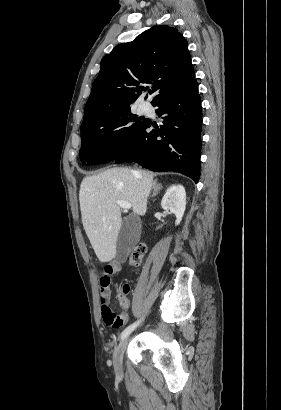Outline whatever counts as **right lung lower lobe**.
<instances>
[{
    "mask_svg": "<svg viewBox=\"0 0 281 410\" xmlns=\"http://www.w3.org/2000/svg\"><path fill=\"white\" fill-rule=\"evenodd\" d=\"M163 125L148 130V120L115 163L136 162L152 171L180 172L200 178L202 108L196 80L187 87L163 95L153 104ZM154 126V125H153Z\"/></svg>",
    "mask_w": 281,
    "mask_h": 410,
    "instance_id": "98d812e1",
    "label": "right lung lower lobe"
}]
</instances>
